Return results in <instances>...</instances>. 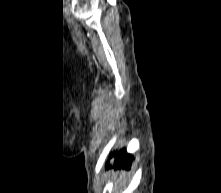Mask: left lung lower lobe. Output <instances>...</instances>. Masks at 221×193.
<instances>
[{
	"instance_id": "0a47b994",
	"label": "left lung lower lobe",
	"mask_w": 221,
	"mask_h": 193,
	"mask_svg": "<svg viewBox=\"0 0 221 193\" xmlns=\"http://www.w3.org/2000/svg\"><path fill=\"white\" fill-rule=\"evenodd\" d=\"M110 157H115L116 162L114 164V168H125L129 169L132 162V155L126 152V148H122L117 153L112 152ZM109 164L106 163V168L109 169Z\"/></svg>"
}]
</instances>
